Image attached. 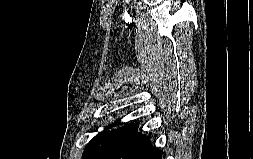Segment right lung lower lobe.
Segmentation results:
<instances>
[{"instance_id": "obj_1", "label": "right lung lower lobe", "mask_w": 253, "mask_h": 159, "mask_svg": "<svg viewBox=\"0 0 253 159\" xmlns=\"http://www.w3.org/2000/svg\"><path fill=\"white\" fill-rule=\"evenodd\" d=\"M137 129L110 146L96 159H162V151L152 146Z\"/></svg>"}]
</instances>
